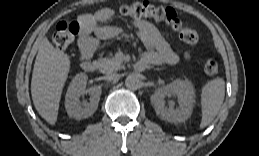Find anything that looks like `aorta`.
Returning <instances> with one entry per match:
<instances>
[{"instance_id":"obj_1","label":"aorta","mask_w":259,"mask_h":156,"mask_svg":"<svg viewBox=\"0 0 259 156\" xmlns=\"http://www.w3.org/2000/svg\"><path fill=\"white\" fill-rule=\"evenodd\" d=\"M139 84H140V81L136 76L130 75L125 79V86L128 89L136 90L139 88Z\"/></svg>"}]
</instances>
